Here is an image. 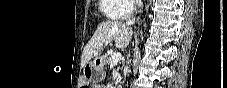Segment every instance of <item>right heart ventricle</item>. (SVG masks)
Instances as JSON below:
<instances>
[{"instance_id": "1", "label": "right heart ventricle", "mask_w": 227, "mask_h": 88, "mask_svg": "<svg viewBox=\"0 0 227 88\" xmlns=\"http://www.w3.org/2000/svg\"><path fill=\"white\" fill-rule=\"evenodd\" d=\"M126 2L125 0H99V9L106 18L119 20L130 12L131 8Z\"/></svg>"}]
</instances>
